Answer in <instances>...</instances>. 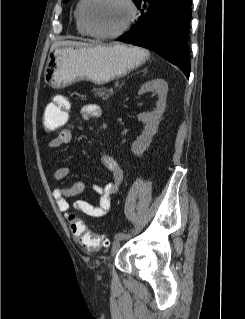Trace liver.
Returning a JSON list of instances; mask_svg holds the SVG:
<instances>
[{"instance_id": "6515ba94", "label": "liver", "mask_w": 245, "mask_h": 319, "mask_svg": "<svg viewBox=\"0 0 245 319\" xmlns=\"http://www.w3.org/2000/svg\"><path fill=\"white\" fill-rule=\"evenodd\" d=\"M92 44L83 43V42H77V41H59L52 45L51 52L55 50L57 47L61 46H90Z\"/></svg>"}]
</instances>
